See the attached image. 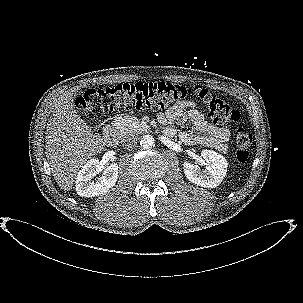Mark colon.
<instances>
[{"label": "colon", "mask_w": 303, "mask_h": 303, "mask_svg": "<svg viewBox=\"0 0 303 303\" xmlns=\"http://www.w3.org/2000/svg\"><path fill=\"white\" fill-rule=\"evenodd\" d=\"M198 97L204 102L210 116L218 123H236L241 119V112L223 100L213 97L204 88H187L170 82H137L134 84H117L102 88L86 90L76 99V107L90 121L111 114L128 110H162L186 99ZM235 156L244 163L252 143V135L239 128L234 132Z\"/></svg>", "instance_id": "1"}]
</instances>
